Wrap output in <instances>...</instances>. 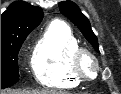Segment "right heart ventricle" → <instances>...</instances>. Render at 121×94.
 Here are the masks:
<instances>
[{
    "mask_svg": "<svg viewBox=\"0 0 121 94\" xmlns=\"http://www.w3.org/2000/svg\"><path fill=\"white\" fill-rule=\"evenodd\" d=\"M81 47L71 28L62 21L51 22L34 44L30 66L44 87L69 89L79 80L71 68L73 53Z\"/></svg>",
    "mask_w": 121,
    "mask_h": 94,
    "instance_id": "e07e8e85",
    "label": "right heart ventricle"
}]
</instances>
